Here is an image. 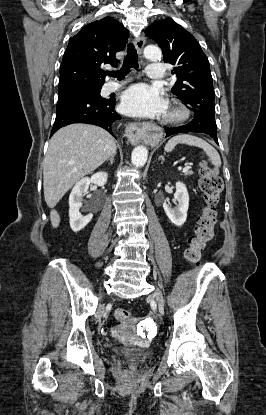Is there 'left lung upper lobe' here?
Segmentation results:
<instances>
[{"label": "left lung upper lobe", "instance_id": "1", "mask_svg": "<svg viewBox=\"0 0 266 415\" xmlns=\"http://www.w3.org/2000/svg\"><path fill=\"white\" fill-rule=\"evenodd\" d=\"M146 34L163 50L164 62L174 66L171 73L177 81L172 93L194 111V119L188 125L217 134L212 75L208 58L197 40L171 18L154 21Z\"/></svg>", "mask_w": 266, "mask_h": 415}]
</instances>
